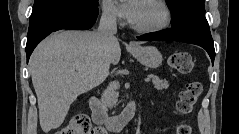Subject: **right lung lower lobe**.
<instances>
[{"instance_id":"right-lung-lower-lobe-1","label":"right lung lower lobe","mask_w":239,"mask_h":134,"mask_svg":"<svg viewBox=\"0 0 239 134\" xmlns=\"http://www.w3.org/2000/svg\"><path fill=\"white\" fill-rule=\"evenodd\" d=\"M98 9L76 3H61L31 15L26 44L27 61L37 44L50 33L60 29L86 30L92 27Z\"/></svg>"}]
</instances>
